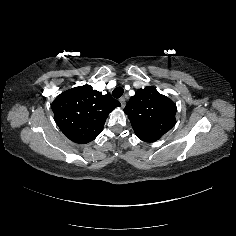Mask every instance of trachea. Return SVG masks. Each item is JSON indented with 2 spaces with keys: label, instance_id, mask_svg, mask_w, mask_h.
Returning a JSON list of instances; mask_svg holds the SVG:
<instances>
[{
  "label": "trachea",
  "instance_id": "1",
  "mask_svg": "<svg viewBox=\"0 0 236 236\" xmlns=\"http://www.w3.org/2000/svg\"><path fill=\"white\" fill-rule=\"evenodd\" d=\"M124 93V90L122 87H116L113 91H112V95L114 98L118 99L120 98Z\"/></svg>",
  "mask_w": 236,
  "mask_h": 236
}]
</instances>
